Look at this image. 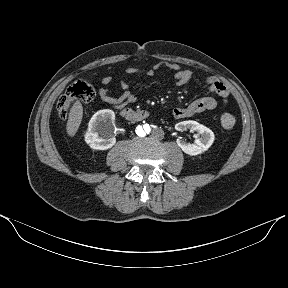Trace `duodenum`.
I'll return each mask as SVG.
<instances>
[{"mask_svg":"<svg viewBox=\"0 0 288 288\" xmlns=\"http://www.w3.org/2000/svg\"><path fill=\"white\" fill-rule=\"evenodd\" d=\"M121 115L129 121H142L149 117L147 110H134L131 108H124L121 111Z\"/></svg>","mask_w":288,"mask_h":288,"instance_id":"duodenum-1","label":"duodenum"}]
</instances>
